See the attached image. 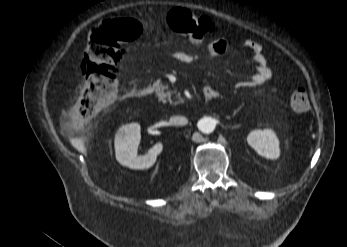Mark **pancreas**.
<instances>
[{
    "instance_id": "1",
    "label": "pancreas",
    "mask_w": 347,
    "mask_h": 247,
    "mask_svg": "<svg viewBox=\"0 0 347 247\" xmlns=\"http://www.w3.org/2000/svg\"><path fill=\"white\" fill-rule=\"evenodd\" d=\"M152 88L162 102L166 103L169 101L172 103L171 95L174 93V91H169L167 85L165 86L157 81L153 83Z\"/></svg>"
}]
</instances>
